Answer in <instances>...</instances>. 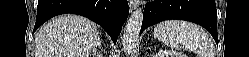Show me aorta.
Listing matches in <instances>:
<instances>
[{"mask_svg": "<svg viewBox=\"0 0 249 57\" xmlns=\"http://www.w3.org/2000/svg\"><path fill=\"white\" fill-rule=\"evenodd\" d=\"M143 22V11L141 8L133 11L127 23L125 25L123 36H122V46L123 52L126 57H132L136 53L137 41L139 38V33L141 25Z\"/></svg>", "mask_w": 249, "mask_h": 57, "instance_id": "1", "label": "aorta"}]
</instances>
